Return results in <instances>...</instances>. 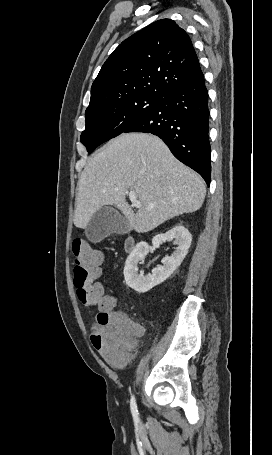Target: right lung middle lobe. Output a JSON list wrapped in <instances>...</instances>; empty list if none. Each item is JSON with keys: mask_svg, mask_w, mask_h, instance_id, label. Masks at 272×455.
I'll use <instances>...</instances> for the list:
<instances>
[{"mask_svg": "<svg viewBox=\"0 0 272 455\" xmlns=\"http://www.w3.org/2000/svg\"><path fill=\"white\" fill-rule=\"evenodd\" d=\"M163 97L137 95L119 99L85 112L86 128L80 140L91 153L97 146L125 132L160 105Z\"/></svg>", "mask_w": 272, "mask_h": 455, "instance_id": "1", "label": "right lung middle lobe"}]
</instances>
